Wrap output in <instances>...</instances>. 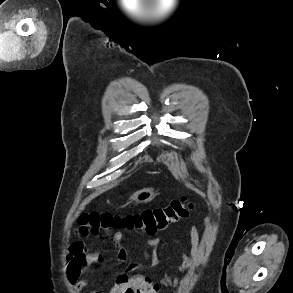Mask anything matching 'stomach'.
I'll use <instances>...</instances> for the list:
<instances>
[{"instance_id": "stomach-1", "label": "stomach", "mask_w": 293, "mask_h": 293, "mask_svg": "<svg viewBox=\"0 0 293 293\" xmlns=\"http://www.w3.org/2000/svg\"><path fill=\"white\" fill-rule=\"evenodd\" d=\"M155 193L152 188H146L134 193L130 200L135 203L149 202L154 197Z\"/></svg>"}]
</instances>
